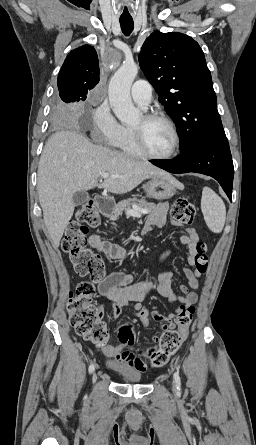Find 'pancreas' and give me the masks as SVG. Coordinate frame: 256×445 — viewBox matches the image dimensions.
<instances>
[{"label":"pancreas","mask_w":256,"mask_h":445,"mask_svg":"<svg viewBox=\"0 0 256 445\" xmlns=\"http://www.w3.org/2000/svg\"><path fill=\"white\" fill-rule=\"evenodd\" d=\"M134 206L145 209L147 211V214H153L154 212H156L157 209L155 204L149 203L143 199L129 198L127 200H122L113 208L110 219L113 221L118 220L123 210H134Z\"/></svg>","instance_id":"1"}]
</instances>
